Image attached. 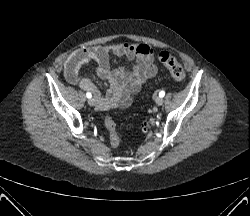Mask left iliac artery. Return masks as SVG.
I'll return each mask as SVG.
<instances>
[{
    "label": "left iliac artery",
    "instance_id": "1",
    "mask_svg": "<svg viewBox=\"0 0 250 216\" xmlns=\"http://www.w3.org/2000/svg\"><path fill=\"white\" fill-rule=\"evenodd\" d=\"M164 95H165V92L164 91H160L159 96L160 97H164Z\"/></svg>",
    "mask_w": 250,
    "mask_h": 216
}]
</instances>
